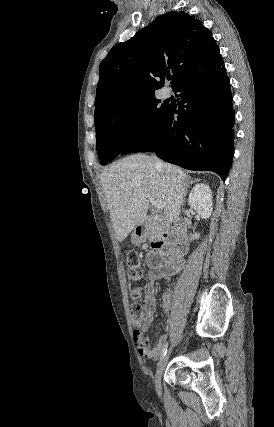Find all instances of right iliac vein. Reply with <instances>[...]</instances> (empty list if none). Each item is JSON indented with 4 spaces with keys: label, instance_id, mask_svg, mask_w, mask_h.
<instances>
[{
    "label": "right iliac vein",
    "instance_id": "1",
    "mask_svg": "<svg viewBox=\"0 0 274 427\" xmlns=\"http://www.w3.org/2000/svg\"><path fill=\"white\" fill-rule=\"evenodd\" d=\"M170 353H171V350H169L168 353L162 358V360L159 363V366L156 370V373L154 376V383H155V388L157 391H159L161 388V378H162L163 370L167 364Z\"/></svg>",
    "mask_w": 274,
    "mask_h": 427
}]
</instances>
